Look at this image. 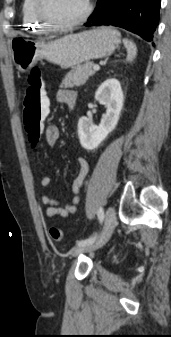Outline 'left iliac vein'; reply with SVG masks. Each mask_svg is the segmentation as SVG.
<instances>
[{
  "mask_svg": "<svg viewBox=\"0 0 171 337\" xmlns=\"http://www.w3.org/2000/svg\"><path fill=\"white\" fill-rule=\"evenodd\" d=\"M116 222L117 220L115 210L114 208L109 207L106 212L103 229L99 236L92 243L73 247L70 251V254L74 257H77L82 253L91 252L103 247L111 237L115 229Z\"/></svg>",
  "mask_w": 171,
  "mask_h": 337,
  "instance_id": "4c4485c4",
  "label": "left iliac vein"
}]
</instances>
